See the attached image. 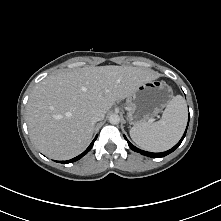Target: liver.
<instances>
[{
    "label": "liver",
    "mask_w": 221,
    "mask_h": 221,
    "mask_svg": "<svg viewBox=\"0 0 221 221\" xmlns=\"http://www.w3.org/2000/svg\"><path fill=\"white\" fill-rule=\"evenodd\" d=\"M158 77L145 68L114 65L50 75L36 85L26 106L30 137L47 157L71 159L90 143L95 113L105 114L140 84Z\"/></svg>",
    "instance_id": "1"
}]
</instances>
